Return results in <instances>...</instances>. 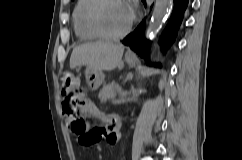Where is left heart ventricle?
Listing matches in <instances>:
<instances>
[{
  "label": "left heart ventricle",
  "instance_id": "b2bd125f",
  "mask_svg": "<svg viewBox=\"0 0 242 160\" xmlns=\"http://www.w3.org/2000/svg\"><path fill=\"white\" fill-rule=\"evenodd\" d=\"M132 13L125 0H106L99 11V21L109 34H119L126 29Z\"/></svg>",
  "mask_w": 242,
  "mask_h": 160
}]
</instances>
